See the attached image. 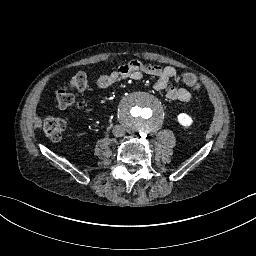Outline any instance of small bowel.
<instances>
[{
	"label": "small bowel",
	"mask_w": 256,
	"mask_h": 256,
	"mask_svg": "<svg viewBox=\"0 0 256 256\" xmlns=\"http://www.w3.org/2000/svg\"><path fill=\"white\" fill-rule=\"evenodd\" d=\"M177 70L172 66H157L144 64L138 60L129 61L120 65L117 69L102 73L97 79L98 87L102 89L110 88L117 84L124 78L131 77L133 79H140L143 74L152 75L157 77L154 88L157 91H166V97L169 100H179L187 102L191 98L190 92L182 86L170 87L167 89V84L170 81H175V73ZM180 83V82H177Z\"/></svg>",
	"instance_id": "small-bowel-1"
}]
</instances>
